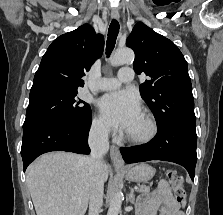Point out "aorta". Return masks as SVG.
Segmentation results:
<instances>
[{"instance_id":"aorta-1","label":"aorta","mask_w":223,"mask_h":215,"mask_svg":"<svg viewBox=\"0 0 223 215\" xmlns=\"http://www.w3.org/2000/svg\"><path fill=\"white\" fill-rule=\"evenodd\" d=\"M134 60V52L130 50V48H120V50H116L114 56L110 58L111 66H123V64H130ZM123 201L122 191L118 189L116 193H114L107 215H118L121 209V203Z\"/></svg>"}]
</instances>
